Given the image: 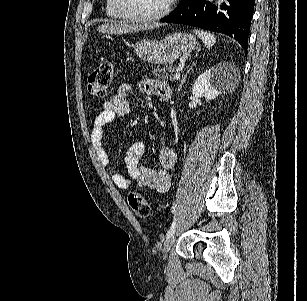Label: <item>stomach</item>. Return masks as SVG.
Here are the masks:
<instances>
[{"instance_id":"0dacf381","label":"stomach","mask_w":307,"mask_h":301,"mask_svg":"<svg viewBox=\"0 0 307 301\" xmlns=\"http://www.w3.org/2000/svg\"><path fill=\"white\" fill-rule=\"evenodd\" d=\"M196 38L191 32H173L164 38H140L133 42V52L145 62L172 64L182 54L191 52L196 46Z\"/></svg>"}]
</instances>
